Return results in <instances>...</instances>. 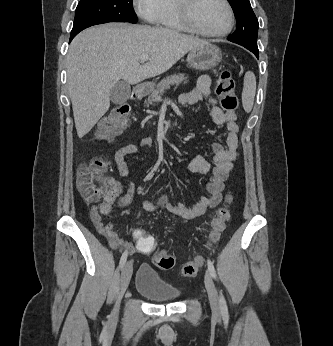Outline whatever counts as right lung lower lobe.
I'll return each mask as SVG.
<instances>
[{
	"label": "right lung lower lobe",
	"mask_w": 333,
	"mask_h": 346,
	"mask_svg": "<svg viewBox=\"0 0 333 346\" xmlns=\"http://www.w3.org/2000/svg\"><path fill=\"white\" fill-rule=\"evenodd\" d=\"M76 35H71L70 36V41L75 37Z\"/></svg>",
	"instance_id": "98d812e1"
}]
</instances>
